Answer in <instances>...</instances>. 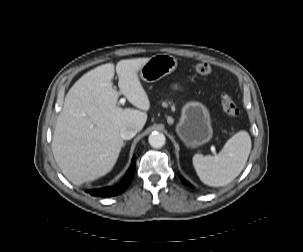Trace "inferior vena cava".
Here are the masks:
<instances>
[{
  "mask_svg": "<svg viewBox=\"0 0 303 252\" xmlns=\"http://www.w3.org/2000/svg\"><path fill=\"white\" fill-rule=\"evenodd\" d=\"M138 132V129L135 126H124L120 130V136L124 140H130Z\"/></svg>",
  "mask_w": 303,
  "mask_h": 252,
  "instance_id": "1",
  "label": "inferior vena cava"
}]
</instances>
